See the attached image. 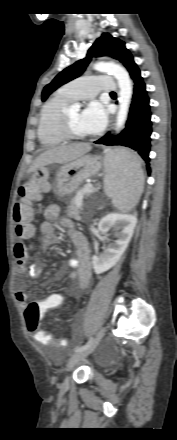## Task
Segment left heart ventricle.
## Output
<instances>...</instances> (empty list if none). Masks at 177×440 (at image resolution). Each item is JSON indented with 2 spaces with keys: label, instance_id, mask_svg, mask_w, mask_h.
Segmentation results:
<instances>
[{
  "label": "left heart ventricle",
  "instance_id": "1",
  "mask_svg": "<svg viewBox=\"0 0 177 440\" xmlns=\"http://www.w3.org/2000/svg\"><path fill=\"white\" fill-rule=\"evenodd\" d=\"M68 116L71 124L72 130L80 135H86L80 125V112L77 109L69 108Z\"/></svg>",
  "mask_w": 177,
  "mask_h": 440
}]
</instances>
